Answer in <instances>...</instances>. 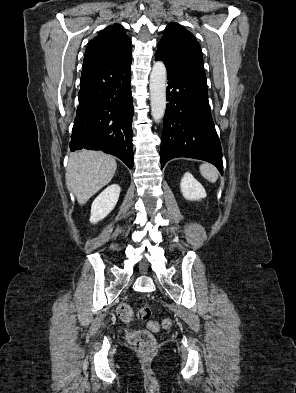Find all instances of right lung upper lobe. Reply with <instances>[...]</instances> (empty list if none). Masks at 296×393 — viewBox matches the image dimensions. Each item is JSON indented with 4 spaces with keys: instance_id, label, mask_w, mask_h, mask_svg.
Returning <instances> with one entry per match:
<instances>
[{
    "instance_id": "cb5924a9",
    "label": "right lung upper lobe",
    "mask_w": 296,
    "mask_h": 393,
    "mask_svg": "<svg viewBox=\"0 0 296 393\" xmlns=\"http://www.w3.org/2000/svg\"><path fill=\"white\" fill-rule=\"evenodd\" d=\"M131 57V40L119 24L106 27L88 45L84 61L123 60Z\"/></svg>"
}]
</instances>
